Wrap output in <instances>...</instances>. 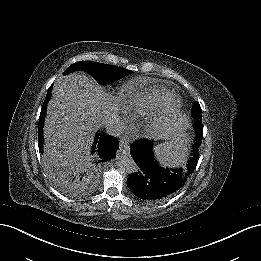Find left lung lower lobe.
Here are the masks:
<instances>
[{
  "mask_svg": "<svg viewBox=\"0 0 261 261\" xmlns=\"http://www.w3.org/2000/svg\"><path fill=\"white\" fill-rule=\"evenodd\" d=\"M203 135L197 136L193 154L187 167L171 170L159 166L152 152V141L141 139L130 146V153L139 169L127 179V186L139 198L158 202L174 195L194 171L198 159V145Z\"/></svg>",
  "mask_w": 261,
  "mask_h": 261,
  "instance_id": "1",
  "label": "left lung lower lobe"
}]
</instances>
